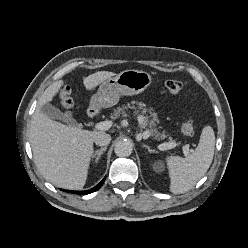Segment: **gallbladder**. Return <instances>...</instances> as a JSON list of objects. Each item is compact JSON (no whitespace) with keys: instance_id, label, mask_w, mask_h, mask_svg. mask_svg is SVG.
<instances>
[{"instance_id":"bac80fb5","label":"gallbladder","mask_w":248,"mask_h":248,"mask_svg":"<svg viewBox=\"0 0 248 248\" xmlns=\"http://www.w3.org/2000/svg\"><path fill=\"white\" fill-rule=\"evenodd\" d=\"M41 111L50 118L65 121L69 123L71 126H77V122L75 120L68 118L58 108L54 107L49 103L44 104L41 108Z\"/></svg>"}]
</instances>
